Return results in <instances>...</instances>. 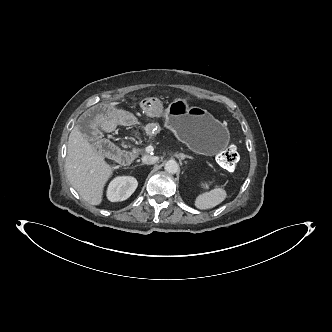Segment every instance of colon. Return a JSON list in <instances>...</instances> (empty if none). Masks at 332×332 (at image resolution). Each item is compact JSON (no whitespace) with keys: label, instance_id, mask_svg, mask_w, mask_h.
<instances>
[{"label":"colon","instance_id":"5ec220e1","mask_svg":"<svg viewBox=\"0 0 332 332\" xmlns=\"http://www.w3.org/2000/svg\"><path fill=\"white\" fill-rule=\"evenodd\" d=\"M96 148L103 154L111 153L115 150L114 145L107 139H101L95 143ZM218 162L222 168L234 171L239 162V155L234 144L228 145L218 155Z\"/></svg>","mask_w":332,"mask_h":332}]
</instances>
